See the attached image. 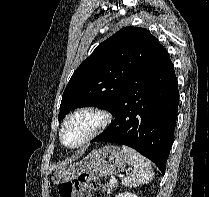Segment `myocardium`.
Masks as SVG:
<instances>
[{
	"mask_svg": "<svg viewBox=\"0 0 209 197\" xmlns=\"http://www.w3.org/2000/svg\"><path fill=\"white\" fill-rule=\"evenodd\" d=\"M82 113L94 114L98 118V123L77 144H74V145L65 144L63 141V132H64L65 127L73 118H75L77 115L82 114ZM111 121H112V114L108 110L98 105L86 104V105L79 106L73 111H71L68 115H66V117L62 121L60 130L58 133L59 141L64 147L68 149H77V148L83 147L86 144H88L90 141L94 140L99 135H101L108 128Z\"/></svg>",
	"mask_w": 209,
	"mask_h": 197,
	"instance_id": "myocardium-1",
	"label": "myocardium"
}]
</instances>
